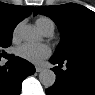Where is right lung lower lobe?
I'll return each instance as SVG.
<instances>
[{
    "label": "right lung lower lobe",
    "mask_w": 95,
    "mask_h": 95,
    "mask_svg": "<svg viewBox=\"0 0 95 95\" xmlns=\"http://www.w3.org/2000/svg\"><path fill=\"white\" fill-rule=\"evenodd\" d=\"M35 72V67L28 61L15 57L7 70L0 67V95H19L22 81Z\"/></svg>",
    "instance_id": "1"
}]
</instances>
